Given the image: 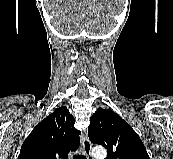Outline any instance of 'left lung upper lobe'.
<instances>
[{
	"label": "left lung upper lobe",
	"instance_id": "left-lung-upper-lobe-1",
	"mask_svg": "<svg viewBox=\"0 0 173 159\" xmlns=\"http://www.w3.org/2000/svg\"><path fill=\"white\" fill-rule=\"evenodd\" d=\"M88 135L107 149L106 159H150L137 133L111 110L98 109L92 115Z\"/></svg>",
	"mask_w": 173,
	"mask_h": 159
}]
</instances>
